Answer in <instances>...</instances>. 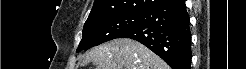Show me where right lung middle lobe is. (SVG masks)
<instances>
[{
  "label": "right lung middle lobe",
  "mask_w": 246,
  "mask_h": 69,
  "mask_svg": "<svg viewBox=\"0 0 246 69\" xmlns=\"http://www.w3.org/2000/svg\"><path fill=\"white\" fill-rule=\"evenodd\" d=\"M141 19L142 14H119L86 21L76 52L119 38L125 31L137 26Z\"/></svg>",
  "instance_id": "1"
}]
</instances>
